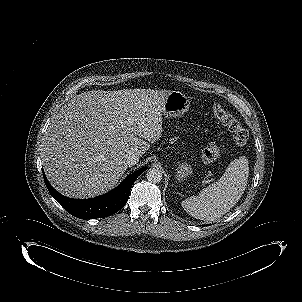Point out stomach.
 <instances>
[{"mask_svg": "<svg viewBox=\"0 0 302 302\" xmlns=\"http://www.w3.org/2000/svg\"><path fill=\"white\" fill-rule=\"evenodd\" d=\"M190 106L189 98L180 91H171L165 98L162 112L166 117L181 116L188 111ZM193 169L186 161L177 164L176 179L183 181L189 177Z\"/></svg>", "mask_w": 302, "mask_h": 302, "instance_id": "obj_1", "label": "stomach"}]
</instances>
